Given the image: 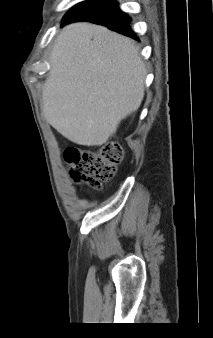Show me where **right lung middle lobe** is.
Here are the masks:
<instances>
[{
	"label": "right lung middle lobe",
	"instance_id": "right-lung-middle-lobe-1",
	"mask_svg": "<svg viewBox=\"0 0 213 338\" xmlns=\"http://www.w3.org/2000/svg\"><path fill=\"white\" fill-rule=\"evenodd\" d=\"M92 2L91 0L88 1H84L81 2L77 5H75L70 11H68V13L64 16V20L67 19L73 12H75L77 9H79L80 7H82L83 5Z\"/></svg>",
	"mask_w": 213,
	"mask_h": 338
}]
</instances>
